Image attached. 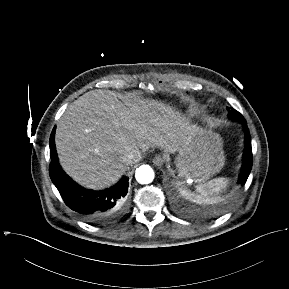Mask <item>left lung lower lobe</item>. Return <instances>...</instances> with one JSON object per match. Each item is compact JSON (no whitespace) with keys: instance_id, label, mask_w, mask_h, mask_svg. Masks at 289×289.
<instances>
[{"instance_id":"1","label":"left lung lower lobe","mask_w":289,"mask_h":289,"mask_svg":"<svg viewBox=\"0 0 289 289\" xmlns=\"http://www.w3.org/2000/svg\"><path fill=\"white\" fill-rule=\"evenodd\" d=\"M242 122L244 126L246 145H245V151L243 155L244 158H243L242 170H241L240 177H239V183L245 184L252 168V149H251V138H250L248 127L246 125V121H242Z\"/></svg>"}]
</instances>
